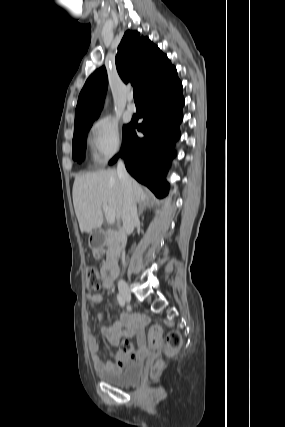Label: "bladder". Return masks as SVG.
Instances as JSON below:
<instances>
[{"mask_svg": "<svg viewBox=\"0 0 285 427\" xmlns=\"http://www.w3.org/2000/svg\"><path fill=\"white\" fill-rule=\"evenodd\" d=\"M143 368L140 362L126 365L118 370L103 371L102 380L113 386H128L136 383L142 376Z\"/></svg>", "mask_w": 285, "mask_h": 427, "instance_id": "31cf9c89", "label": "bladder"}]
</instances>
